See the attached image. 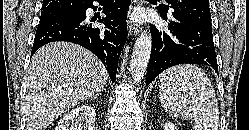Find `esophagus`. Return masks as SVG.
Listing matches in <instances>:
<instances>
[{"label": "esophagus", "instance_id": "obj_1", "mask_svg": "<svg viewBox=\"0 0 249 130\" xmlns=\"http://www.w3.org/2000/svg\"><path fill=\"white\" fill-rule=\"evenodd\" d=\"M139 0H134L133 3L137 2ZM128 32L130 36H137L139 33V27L137 24H134L131 19L128 21Z\"/></svg>", "mask_w": 249, "mask_h": 130}]
</instances>
